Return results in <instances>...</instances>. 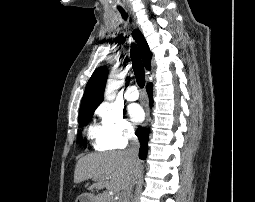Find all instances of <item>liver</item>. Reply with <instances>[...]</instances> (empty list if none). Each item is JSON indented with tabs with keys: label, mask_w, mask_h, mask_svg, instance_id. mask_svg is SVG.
<instances>
[{
	"label": "liver",
	"mask_w": 255,
	"mask_h": 202,
	"mask_svg": "<svg viewBox=\"0 0 255 202\" xmlns=\"http://www.w3.org/2000/svg\"><path fill=\"white\" fill-rule=\"evenodd\" d=\"M140 163L134 165L125 152L92 153L80 158L74 171V183L96 181L90 189L104 188L115 193L124 190L138 176Z\"/></svg>",
	"instance_id": "liver-1"
}]
</instances>
